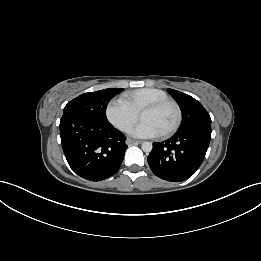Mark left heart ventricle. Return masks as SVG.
Listing matches in <instances>:
<instances>
[{
  "label": "left heart ventricle",
  "instance_id": "b2bd125f",
  "mask_svg": "<svg viewBox=\"0 0 261 261\" xmlns=\"http://www.w3.org/2000/svg\"><path fill=\"white\" fill-rule=\"evenodd\" d=\"M176 111L173 106H165L157 110H146L141 113L142 120L153 122L162 133L174 123Z\"/></svg>",
  "mask_w": 261,
  "mask_h": 261
}]
</instances>
